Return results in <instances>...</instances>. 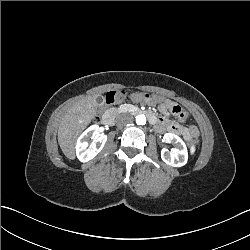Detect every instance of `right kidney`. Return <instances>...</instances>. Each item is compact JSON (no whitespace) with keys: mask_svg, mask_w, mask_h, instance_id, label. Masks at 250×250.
<instances>
[{"mask_svg":"<svg viewBox=\"0 0 250 250\" xmlns=\"http://www.w3.org/2000/svg\"><path fill=\"white\" fill-rule=\"evenodd\" d=\"M93 139L89 146L88 139ZM107 136L99 133L98 125H91L78 138L76 143V156L80 162L93 159L104 147ZM89 146V147H88Z\"/></svg>","mask_w":250,"mask_h":250,"instance_id":"ca27d5eb","label":"right kidney"}]
</instances>
